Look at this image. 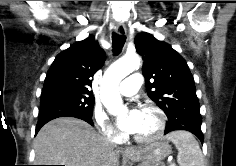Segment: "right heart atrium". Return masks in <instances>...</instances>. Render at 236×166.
<instances>
[{"label":"right heart atrium","instance_id":"obj_1","mask_svg":"<svg viewBox=\"0 0 236 166\" xmlns=\"http://www.w3.org/2000/svg\"><path fill=\"white\" fill-rule=\"evenodd\" d=\"M92 119L100 133L111 141L120 140V136L111 125L109 118L101 107H95L92 112Z\"/></svg>","mask_w":236,"mask_h":166}]
</instances>
